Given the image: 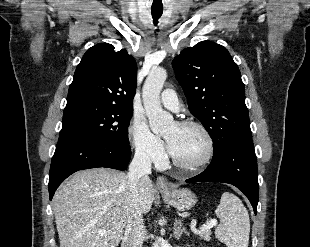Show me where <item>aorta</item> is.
<instances>
[{"mask_svg": "<svg viewBox=\"0 0 310 247\" xmlns=\"http://www.w3.org/2000/svg\"><path fill=\"white\" fill-rule=\"evenodd\" d=\"M167 72L164 68H153L145 80L142 98L149 119V125L153 133L159 134L173 125V117L163 110L160 103V92L163 88ZM152 247H159L155 242Z\"/></svg>", "mask_w": 310, "mask_h": 247, "instance_id": "aorta-1", "label": "aorta"}]
</instances>
